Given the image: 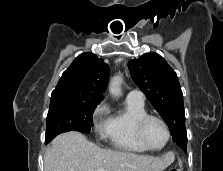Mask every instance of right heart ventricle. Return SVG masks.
Masks as SVG:
<instances>
[{
	"mask_svg": "<svg viewBox=\"0 0 223 171\" xmlns=\"http://www.w3.org/2000/svg\"><path fill=\"white\" fill-rule=\"evenodd\" d=\"M147 114L144 102L127 98L124 110L114 112L108 119V128L105 133L107 140L114 148L121 151L147 152L148 149L136 135L137 121Z\"/></svg>",
	"mask_w": 223,
	"mask_h": 171,
	"instance_id": "obj_1",
	"label": "right heart ventricle"
}]
</instances>
